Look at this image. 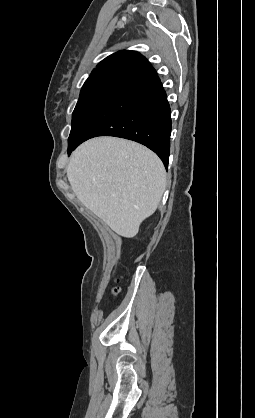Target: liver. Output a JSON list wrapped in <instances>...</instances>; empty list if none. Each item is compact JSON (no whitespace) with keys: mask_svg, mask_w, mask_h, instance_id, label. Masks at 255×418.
<instances>
[{"mask_svg":"<svg viewBox=\"0 0 255 418\" xmlns=\"http://www.w3.org/2000/svg\"><path fill=\"white\" fill-rule=\"evenodd\" d=\"M67 177L81 203L126 238L134 237L155 212L166 188L159 157L143 145L115 137L80 145L71 156Z\"/></svg>","mask_w":255,"mask_h":418,"instance_id":"liver-1","label":"liver"}]
</instances>
